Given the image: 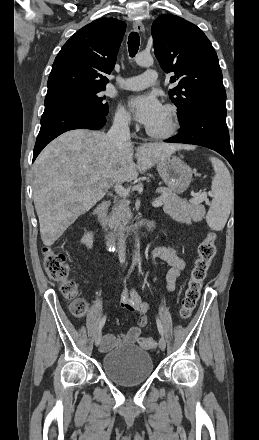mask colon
Returning a JSON list of instances; mask_svg holds the SVG:
<instances>
[{
  "label": "colon",
  "mask_w": 259,
  "mask_h": 440,
  "mask_svg": "<svg viewBox=\"0 0 259 440\" xmlns=\"http://www.w3.org/2000/svg\"><path fill=\"white\" fill-rule=\"evenodd\" d=\"M216 251V235L209 232L198 247V257L191 270L189 282L181 301L179 316L182 320H187L192 315L200 297L202 283ZM43 267L48 277L59 283L63 296L72 301L70 306L72 314L78 318L82 317L87 310V304L84 300L76 298L77 284L70 277V268L65 255L53 248H43ZM139 344L146 350L156 348V342L151 337H141Z\"/></svg>",
  "instance_id": "5ec220e1"
}]
</instances>
